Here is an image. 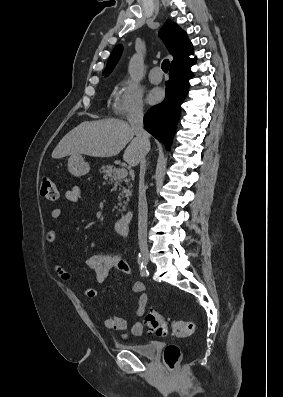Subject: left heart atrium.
Segmentation results:
<instances>
[{"instance_id":"obj_1","label":"left heart atrium","mask_w":283,"mask_h":397,"mask_svg":"<svg viewBox=\"0 0 283 397\" xmlns=\"http://www.w3.org/2000/svg\"><path fill=\"white\" fill-rule=\"evenodd\" d=\"M164 98V91L159 87H154L148 92L147 100L150 104H158Z\"/></svg>"}]
</instances>
